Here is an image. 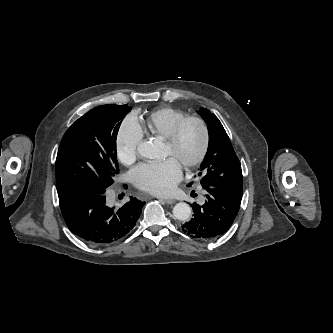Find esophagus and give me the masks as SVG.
Segmentation results:
<instances>
[{
  "instance_id": "1",
  "label": "esophagus",
  "mask_w": 333,
  "mask_h": 333,
  "mask_svg": "<svg viewBox=\"0 0 333 333\" xmlns=\"http://www.w3.org/2000/svg\"><path fill=\"white\" fill-rule=\"evenodd\" d=\"M166 204H174L176 201L174 199H163Z\"/></svg>"
}]
</instances>
